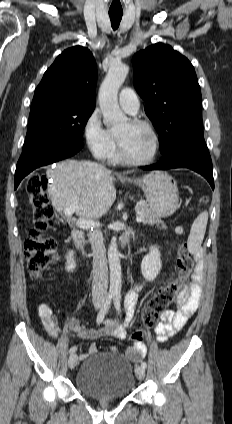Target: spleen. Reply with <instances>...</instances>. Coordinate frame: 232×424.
Here are the masks:
<instances>
[{
  "label": "spleen",
  "instance_id": "3e777b00",
  "mask_svg": "<svg viewBox=\"0 0 232 424\" xmlns=\"http://www.w3.org/2000/svg\"><path fill=\"white\" fill-rule=\"evenodd\" d=\"M208 222V212H202L193 222L190 234L187 240V246L190 253H196L204 239L206 226Z\"/></svg>",
  "mask_w": 232,
  "mask_h": 424
}]
</instances>
